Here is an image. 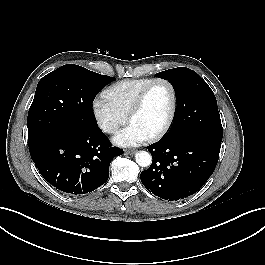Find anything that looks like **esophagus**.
Here are the masks:
<instances>
[{"mask_svg": "<svg viewBox=\"0 0 265 265\" xmlns=\"http://www.w3.org/2000/svg\"><path fill=\"white\" fill-rule=\"evenodd\" d=\"M136 151L135 150H125V154H127V155H132V154H134Z\"/></svg>", "mask_w": 265, "mask_h": 265, "instance_id": "obj_1", "label": "esophagus"}]
</instances>
